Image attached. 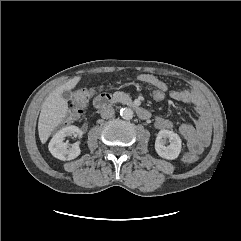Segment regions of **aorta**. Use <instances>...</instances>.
Returning a JSON list of instances; mask_svg holds the SVG:
<instances>
[{"label": "aorta", "instance_id": "aorta-1", "mask_svg": "<svg viewBox=\"0 0 241 241\" xmlns=\"http://www.w3.org/2000/svg\"><path fill=\"white\" fill-rule=\"evenodd\" d=\"M133 110L130 108H122L120 110V116L125 120H130L133 118Z\"/></svg>", "mask_w": 241, "mask_h": 241}]
</instances>
